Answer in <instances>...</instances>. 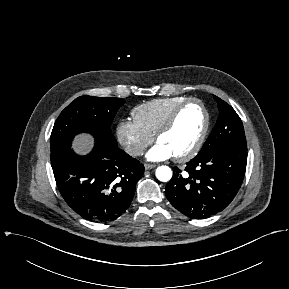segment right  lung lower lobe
Returning a JSON list of instances; mask_svg holds the SVG:
<instances>
[{"instance_id":"obj_1","label":"right lung lower lobe","mask_w":289,"mask_h":289,"mask_svg":"<svg viewBox=\"0 0 289 289\" xmlns=\"http://www.w3.org/2000/svg\"><path fill=\"white\" fill-rule=\"evenodd\" d=\"M65 202L81 217L95 222L117 219L130 206L144 166L118 146L96 140L87 156L68 149L51 163Z\"/></svg>"}]
</instances>
